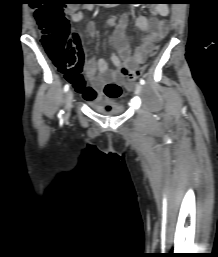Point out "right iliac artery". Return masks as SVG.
<instances>
[{
    "instance_id": "right-iliac-artery-1",
    "label": "right iliac artery",
    "mask_w": 218,
    "mask_h": 257,
    "mask_svg": "<svg viewBox=\"0 0 218 257\" xmlns=\"http://www.w3.org/2000/svg\"><path fill=\"white\" fill-rule=\"evenodd\" d=\"M68 89H69V84H66V85L64 86V91L67 92ZM63 113H64L63 110H61V111L59 112V114H58V118H59V120H60L61 123L63 122Z\"/></svg>"
}]
</instances>
